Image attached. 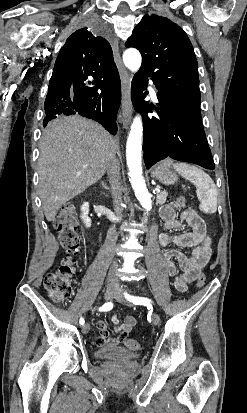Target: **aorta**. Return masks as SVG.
<instances>
[{"label": "aorta", "mask_w": 247, "mask_h": 413, "mask_svg": "<svg viewBox=\"0 0 247 413\" xmlns=\"http://www.w3.org/2000/svg\"><path fill=\"white\" fill-rule=\"evenodd\" d=\"M125 66L132 72H137L141 66L142 58L138 50L134 48L127 49L123 54ZM142 119L136 115L131 125V131L127 139L126 158L129 169V178L136 198L142 207L147 211L152 208L151 194L145 184L142 176L141 151H142Z\"/></svg>", "instance_id": "aorta-1"}]
</instances>
